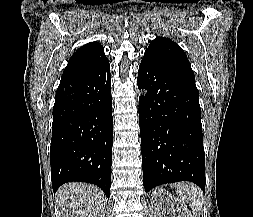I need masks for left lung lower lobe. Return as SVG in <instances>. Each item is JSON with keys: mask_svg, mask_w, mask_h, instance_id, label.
I'll list each match as a JSON object with an SVG mask.
<instances>
[{"mask_svg": "<svg viewBox=\"0 0 253 217\" xmlns=\"http://www.w3.org/2000/svg\"><path fill=\"white\" fill-rule=\"evenodd\" d=\"M143 185L191 181L205 190L201 109L195 82L144 55L139 66Z\"/></svg>", "mask_w": 253, "mask_h": 217, "instance_id": "1", "label": "left lung lower lobe"}]
</instances>
